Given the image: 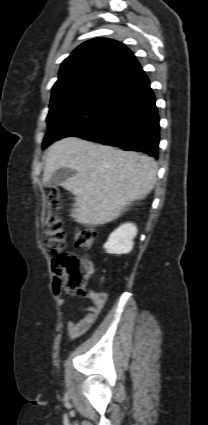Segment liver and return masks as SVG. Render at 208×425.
I'll use <instances>...</instances> for the list:
<instances>
[{
    "instance_id": "liver-1",
    "label": "liver",
    "mask_w": 208,
    "mask_h": 425,
    "mask_svg": "<svg viewBox=\"0 0 208 425\" xmlns=\"http://www.w3.org/2000/svg\"><path fill=\"white\" fill-rule=\"evenodd\" d=\"M60 168L76 174L62 186L75 196L71 217L85 226L113 221L133 201L144 199L156 183L157 163L147 155L67 137L50 146L46 183Z\"/></svg>"
}]
</instances>
